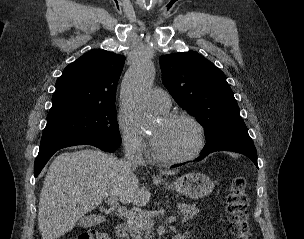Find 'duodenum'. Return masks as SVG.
<instances>
[{
	"label": "duodenum",
	"instance_id": "obj_1",
	"mask_svg": "<svg viewBox=\"0 0 304 239\" xmlns=\"http://www.w3.org/2000/svg\"><path fill=\"white\" fill-rule=\"evenodd\" d=\"M115 235L117 239H126L128 235V225L126 223H120L116 226ZM173 239H184L182 234L176 235Z\"/></svg>",
	"mask_w": 304,
	"mask_h": 239
}]
</instances>
